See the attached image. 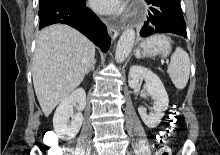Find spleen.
<instances>
[{
  "mask_svg": "<svg viewBox=\"0 0 220 155\" xmlns=\"http://www.w3.org/2000/svg\"><path fill=\"white\" fill-rule=\"evenodd\" d=\"M167 72L177 89L185 88L190 75V59L186 51L180 47L176 48L171 56Z\"/></svg>",
  "mask_w": 220,
  "mask_h": 155,
  "instance_id": "1",
  "label": "spleen"
}]
</instances>
